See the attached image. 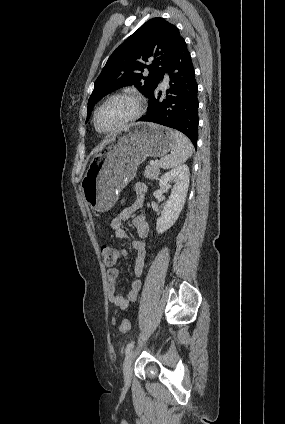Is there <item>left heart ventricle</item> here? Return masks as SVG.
Returning <instances> with one entry per match:
<instances>
[{
  "label": "left heart ventricle",
  "mask_w": 285,
  "mask_h": 424,
  "mask_svg": "<svg viewBox=\"0 0 285 424\" xmlns=\"http://www.w3.org/2000/svg\"><path fill=\"white\" fill-rule=\"evenodd\" d=\"M135 110L133 101L127 98H118L105 105L97 115L96 125L100 130L113 127L129 117Z\"/></svg>",
  "instance_id": "obj_1"
}]
</instances>
